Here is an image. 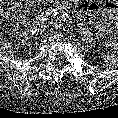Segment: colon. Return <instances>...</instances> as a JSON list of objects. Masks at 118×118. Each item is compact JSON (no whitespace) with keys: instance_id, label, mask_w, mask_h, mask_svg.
<instances>
[{"instance_id":"colon-1","label":"colon","mask_w":118,"mask_h":118,"mask_svg":"<svg viewBox=\"0 0 118 118\" xmlns=\"http://www.w3.org/2000/svg\"><path fill=\"white\" fill-rule=\"evenodd\" d=\"M28 0H0V14L17 17L28 9Z\"/></svg>"}]
</instances>
